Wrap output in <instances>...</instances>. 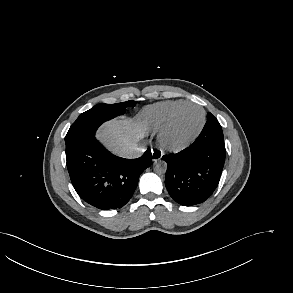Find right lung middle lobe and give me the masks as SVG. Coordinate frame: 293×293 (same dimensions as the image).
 <instances>
[{"label":"right lung middle lobe","instance_id":"obj_1","mask_svg":"<svg viewBox=\"0 0 293 293\" xmlns=\"http://www.w3.org/2000/svg\"><path fill=\"white\" fill-rule=\"evenodd\" d=\"M136 101H127L116 104H97L90 110L82 113L77 120L71 125L65 140L69 139L78 132L90 128H97L105 121H108L126 111V107L136 105Z\"/></svg>","mask_w":293,"mask_h":293}]
</instances>
